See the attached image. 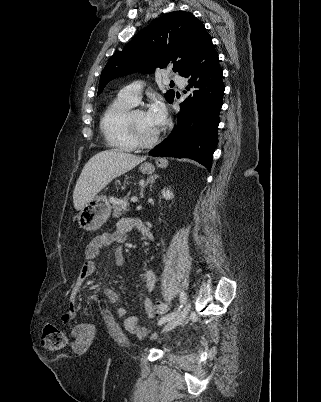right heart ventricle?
Returning a JSON list of instances; mask_svg holds the SVG:
<instances>
[{"mask_svg":"<svg viewBox=\"0 0 321 402\" xmlns=\"http://www.w3.org/2000/svg\"><path fill=\"white\" fill-rule=\"evenodd\" d=\"M132 106L133 104L117 97L105 108L100 120V130L109 147L127 152L137 148L125 126L126 114Z\"/></svg>","mask_w":321,"mask_h":402,"instance_id":"e07e8e85","label":"right heart ventricle"}]
</instances>
